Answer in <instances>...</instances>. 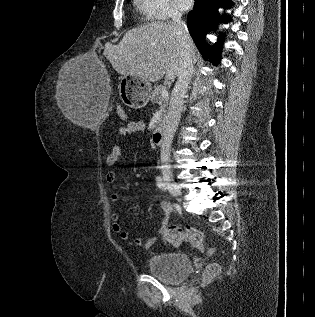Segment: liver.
I'll return each instance as SVG.
<instances>
[{
  "mask_svg": "<svg viewBox=\"0 0 315 317\" xmlns=\"http://www.w3.org/2000/svg\"><path fill=\"white\" fill-rule=\"evenodd\" d=\"M176 23L153 22L129 30L117 45H106L104 55L115 71L156 82L174 80L182 66V41ZM191 39V38H190ZM192 41V40H191ZM193 53H194V43Z\"/></svg>",
  "mask_w": 315,
  "mask_h": 317,
  "instance_id": "obj_1",
  "label": "liver"
}]
</instances>
